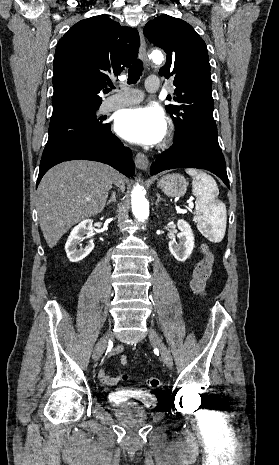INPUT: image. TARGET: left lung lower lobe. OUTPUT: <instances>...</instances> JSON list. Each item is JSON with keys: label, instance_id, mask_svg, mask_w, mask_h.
Masks as SVG:
<instances>
[{"label": "left lung lower lobe", "instance_id": "1", "mask_svg": "<svg viewBox=\"0 0 279 465\" xmlns=\"http://www.w3.org/2000/svg\"><path fill=\"white\" fill-rule=\"evenodd\" d=\"M174 168H200L211 171L230 188L226 163L221 149L214 148L197 139L185 138L175 141L151 165L150 174L155 175Z\"/></svg>", "mask_w": 279, "mask_h": 465}]
</instances>
